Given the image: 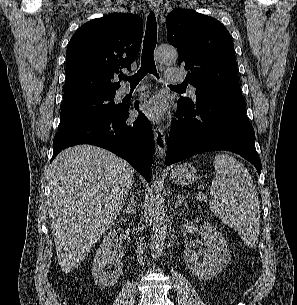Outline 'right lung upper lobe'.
Here are the masks:
<instances>
[{
	"instance_id": "right-lung-upper-lobe-1",
	"label": "right lung upper lobe",
	"mask_w": 297,
	"mask_h": 305,
	"mask_svg": "<svg viewBox=\"0 0 297 305\" xmlns=\"http://www.w3.org/2000/svg\"><path fill=\"white\" fill-rule=\"evenodd\" d=\"M143 36L139 16L113 13L82 25L72 36L66 53L63 101L88 94L116 92L121 68L130 70Z\"/></svg>"
}]
</instances>
